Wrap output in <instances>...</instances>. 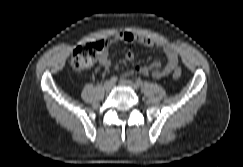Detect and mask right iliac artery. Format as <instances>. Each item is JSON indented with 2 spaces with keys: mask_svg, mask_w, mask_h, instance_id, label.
<instances>
[{
  "mask_svg": "<svg viewBox=\"0 0 243 167\" xmlns=\"http://www.w3.org/2000/svg\"><path fill=\"white\" fill-rule=\"evenodd\" d=\"M118 81V77L117 76H112L110 78V82H112L113 84H115Z\"/></svg>",
  "mask_w": 243,
  "mask_h": 167,
  "instance_id": "1",
  "label": "right iliac artery"
}]
</instances>
